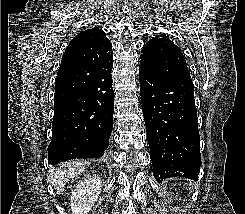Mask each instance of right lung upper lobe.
<instances>
[{
  "label": "right lung upper lobe",
  "mask_w": 245,
  "mask_h": 214,
  "mask_svg": "<svg viewBox=\"0 0 245 214\" xmlns=\"http://www.w3.org/2000/svg\"><path fill=\"white\" fill-rule=\"evenodd\" d=\"M111 62L112 45L103 30L94 27L82 31L71 40L62 56L56 84L61 85L70 80L71 87L83 88L99 66Z\"/></svg>",
  "instance_id": "right-lung-upper-lobe-1"
}]
</instances>
